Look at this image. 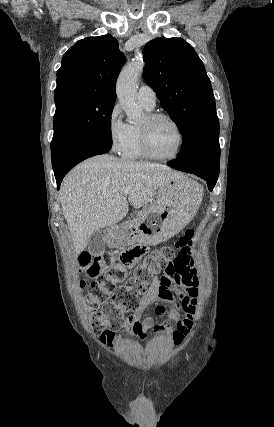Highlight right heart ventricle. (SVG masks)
Segmentation results:
<instances>
[{
  "label": "right heart ventricle",
  "instance_id": "e07e8e85",
  "mask_svg": "<svg viewBox=\"0 0 274 427\" xmlns=\"http://www.w3.org/2000/svg\"><path fill=\"white\" fill-rule=\"evenodd\" d=\"M129 129V138L125 147L121 151V156L124 159L131 161L144 160L146 157L142 155L138 144L137 126L129 125Z\"/></svg>",
  "mask_w": 274,
  "mask_h": 427
}]
</instances>
